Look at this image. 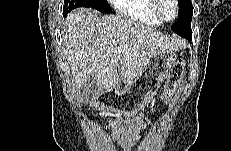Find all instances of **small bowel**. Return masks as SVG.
<instances>
[{
	"label": "small bowel",
	"instance_id": "obj_1",
	"mask_svg": "<svg viewBox=\"0 0 231 151\" xmlns=\"http://www.w3.org/2000/svg\"><path fill=\"white\" fill-rule=\"evenodd\" d=\"M109 127L112 130L113 140L122 151H132L140 138V130L146 128V120L143 118L113 119L110 121Z\"/></svg>",
	"mask_w": 231,
	"mask_h": 151
}]
</instances>
